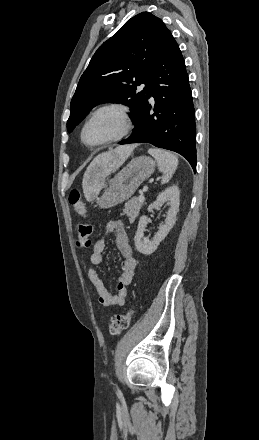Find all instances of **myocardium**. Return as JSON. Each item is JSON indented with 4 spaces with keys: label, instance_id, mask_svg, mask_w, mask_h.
Masks as SVG:
<instances>
[{
    "label": "myocardium",
    "instance_id": "myocardium-1",
    "mask_svg": "<svg viewBox=\"0 0 259 440\" xmlns=\"http://www.w3.org/2000/svg\"><path fill=\"white\" fill-rule=\"evenodd\" d=\"M105 111H113L118 115L121 124L120 132L116 136L105 141L95 144L87 143L84 139V131L86 127L97 115ZM132 127L133 121L131 108L127 104L122 102H108L96 107L86 116L79 131V138L81 143L88 148H100L124 139L131 132Z\"/></svg>",
    "mask_w": 259,
    "mask_h": 440
}]
</instances>
